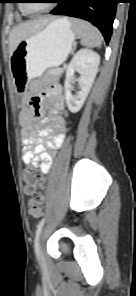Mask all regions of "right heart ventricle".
Wrapping results in <instances>:
<instances>
[{
  "instance_id": "obj_1",
  "label": "right heart ventricle",
  "mask_w": 136,
  "mask_h": 296,
  "mask_svg": "<svg viewBox=\"0 0 136 296\" xmlns=\"http://www.w3.org/2000/svg\"><path fill=\"white\" fill-rule=\"evenodd\" d=\"M20 11L22 12L23 15H26V16L30 15V13L25 10L23 4L20 5Z\"/></svg>"
}]
</instances>
